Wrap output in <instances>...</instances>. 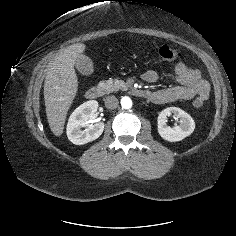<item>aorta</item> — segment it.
Masks as SVG:
<instances>
[{
  "instance_id": "obj_1",
  "label": "aorta",
  "mask_w": 236,
  "mask_h": 236,
  "mask_svg": "<svg viewBox=\"0 0 236 236\" xmlns=\"http://www.w3.org/2000/svg\"><path fill=\"white\" fill-rule=\"evenodd\" d=\"M121 105L125 109H130L132 107V100L129 97L124 96L121 99Z\"/></svg>"
}]
</instances>
